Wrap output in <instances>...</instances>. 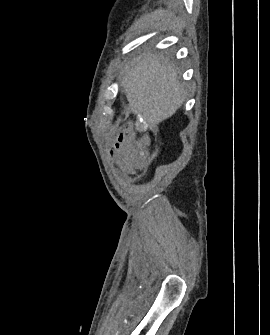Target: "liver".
<instances>
[{"mask_svg":"<svg viewBox=\"0 0 270 335\" xmlns=\"http://www.w3.org/2000/svg\"><path fill=\"white\" fill-rule=\"evenodd\" d=\"M122 84L131 112L140 114L147 126L171 118L186 96L173 64L163 62L157 54L136 58Z\"/></svg>","mask_w":270,"mask_h":335,"instance_id":"6515ba94","label":"liver"}]
</instances>
